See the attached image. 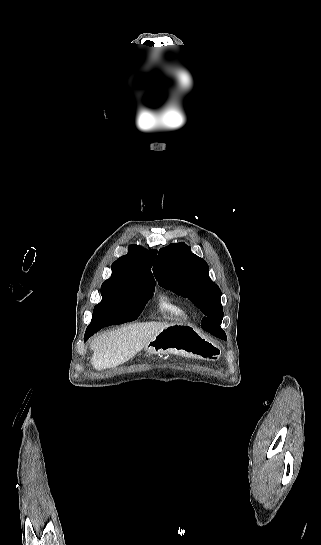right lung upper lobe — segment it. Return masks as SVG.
I'll return each mask as SVG.
<instances>
[{
	"label": "right lung upper lobe",
	"instance_id": "right-lung-upper-lobe-1",
	"mask_svg": "<svg viewBox=\"0 0 321 545\" xmlns=\"http://www.w3.org/2000/svg\"><path fill=\"white\" fill-rule=\"evenodd\" d=\"M155 257L156 250L148 251L141 246L130 245L127 255L113 263L112 275L103 284L126 289L155 288L151 272Z\"/></svg>",
	"mask_w": 321,
	"mask_h": 545
}]
</instances>
